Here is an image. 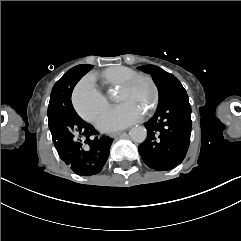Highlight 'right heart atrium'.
Listing matches in <instances>:
<instances>
[{"mask_svg": "<svg viewBox=\"0 0 241 241\" xmlns=\"http://www.w3.org/2000/svg\"><path fill=\"white\" fill-rule=\"evenodd\" d=\"M97 84V77L88 74L84 77L83 84L76 87L72 93L75 111L87 122H94L108 104L106 98L95 91Z\"/></svg>", "mask_w": 241, "mask_h": 241, "instance_id": "obj_1", "label": "right heart atrium"}]
</instances>
